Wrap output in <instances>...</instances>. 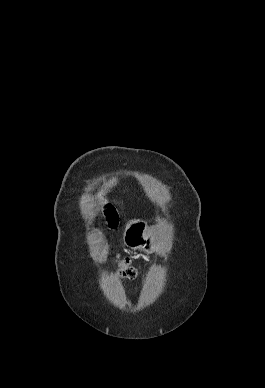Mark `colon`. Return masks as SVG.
<instances>
[{"label":"colon","mask_w":265,"mask_h":388,"mask_svg":"<svg viewBox=\"0 0 265 388\" xmlns=\"http://www.w3.org/2000/svg\"><path fill=\"white\" fill-rule=\"evenodd\" d=\"M105 216L108 226L110 228H115L117 225V215L112 207L107 206L105 210ZM117 265L118 272L121 278L130 280L136 276V269L132 265L129 258L119 256Z\"/></svg>","instance_id":"obj_1"}]
</instances>
